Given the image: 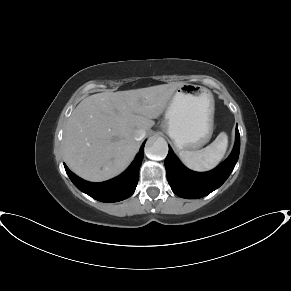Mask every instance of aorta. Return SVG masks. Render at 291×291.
<instances>
[{"label": "aorta", "mask_w": 291, "mask_h": 291, "mask_svg": "<svg viewBox=\"0 0 291 291\" xmlns=\"http://www.w3.org/2000/svg\"><path fill=\"white\" fill-rule=\"evenodd\" d=\"M145 153L152 160H162L168 154V144L162 137L151 138L146 143Z\"/></svg>", "instance_id": "762f6f07"}]
</instances>
